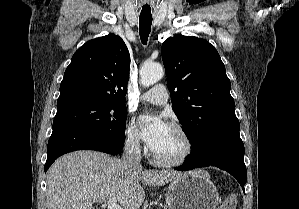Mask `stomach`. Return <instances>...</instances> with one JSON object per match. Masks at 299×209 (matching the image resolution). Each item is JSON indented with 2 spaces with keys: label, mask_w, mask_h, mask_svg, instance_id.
<instances>
[{
  "label": "stomach",
  "mask_w": 299,
  "mask_h": 209,
  "mask_svg": "<svg viewBox=\"0 0 299 209\" xmlns=\"http://www.w3.org/2000/svg\"><path fill=\"white\" fill-rule=\"evenodd\" d=\"M166 204L169 209H216L219 194L203 170L186 172L167 188Z\"/></svg>",
  "instance_id": "1"
}]
</instances>
